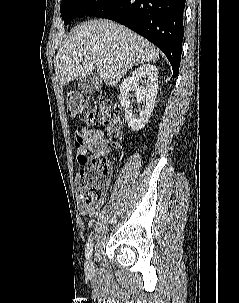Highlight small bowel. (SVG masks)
I'll use <instances>...</instances> for the list:
<instances>
[{"label":"small bowel","mask_w":239,"mask_h":303,"mask_svg":"<svg viewBox=\"0 0 239 303\" xmlns=\"http://www.w3.org/2000/svg\"><path fill=\"white\" fill-rule=\"evenodd\" d=\"M74 146L77 151V162L80 166L86 165L93 159L106 157L110 150L108 139L99 130L82 128L74 134ZM79 213L88 218H94L98 215L99 209L96 206H87L78 200Z\"/></svg>","instance_id":"1"}]
</instances>
